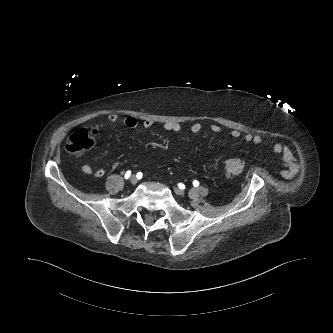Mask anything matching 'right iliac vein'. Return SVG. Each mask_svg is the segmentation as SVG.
<instances>
[{"label": "right iliac vein", "mask_w": 333, "mask_h": 333, "mask_svg": "<svg viewBox=\"0 0 333 333\" xmlns=\"http://www.w3.org/2000/svg\"><path fill=\"white\" fill-rule=\"evenodd\" d=\"M137 182H138L137 177L134 176V175H132V176L130 177V183H131L132 185H135Z\"/></svg>", "instance_id": "63e3f726"}]
</instances>
